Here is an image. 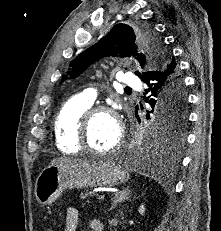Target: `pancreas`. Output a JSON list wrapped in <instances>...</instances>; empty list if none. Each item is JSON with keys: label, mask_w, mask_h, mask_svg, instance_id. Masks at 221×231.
Segmentation results:
<instances>
[{"label": "pancreas", "mask_w": 221, "mask_h": 231, "mask_svg": "<svg viewBox=\"0 0 221 231\" xmlns=\"http://www.w3.org/2000/svg\"><path fill=\"white\" fill-rule=\"evenodd\" d=\"M92 196H94V193L93 192H89V191H86L85 193H81V195H80V197L82 199H86V198L92 197Z\"/></svg>", "instance_id": "1"}]
</instances>
